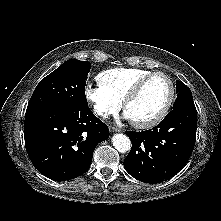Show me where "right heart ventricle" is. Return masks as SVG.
Wrapping results in <instances>:
<instances>
[{"instance_id":"e07e8e85","label":"right heart ventricle","mask_w":221,"mask_h":221,"mask_svg":"<svg viewBox=\"0 0 221 221\" xmlns=\"http://www.w3.org/2000/svg\"><path fill=\"white\" fill-rule=\"evenodd\" d=\"M151 73L143 68L119 67L105 70L98 74L99 84L120 103L138 80Z\"/></svg>"}]
</instances>
